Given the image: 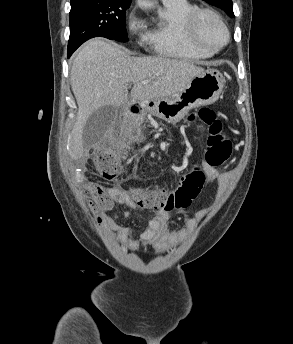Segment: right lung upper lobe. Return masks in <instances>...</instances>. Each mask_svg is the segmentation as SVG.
<instances>
[{
  "mask_svg": "<svg viewBox=\"0 0 293 344\" xmlns=\"http://www.w3.org/2000/svg\"><path fill=\"white\" fill-rule=\"evenodd\" d=\"M80 1H83V0H71L70 3L75 4V3L80 2ZM103 1L127 2V3L131 2V0H103Z\"/></svg>",
  "mask_w": 293,
  "mask_h": 344,
  "instance_id": "right-lung-upper-lobe-1",
  "label": "right lung upper lobe"
}]
</instances>
